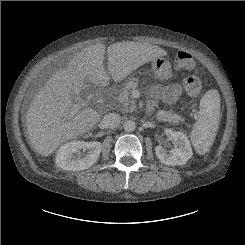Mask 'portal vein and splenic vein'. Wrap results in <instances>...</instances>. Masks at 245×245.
I'll use <instances>...</instances> for the list:
<instances>
[{"mask_svg": "<svg viewBox=\"0 0 245 245\" xmlns=\"http://www.w3.org/2000/svg\"><path fill=\"white\" fill-rule=\"evenodd\" d=\"M83 105H84V103H76V104H74L73 107L71 108L69 117L72 118L73 116H75Z\"/></svg>", "mask_w": 245, "mask_h": 245, "instance_id": "1", "label": "portal vein and splenic vein"}]
</instances>
